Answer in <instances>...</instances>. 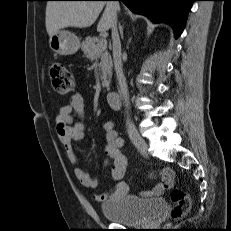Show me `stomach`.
<instances>
[{
	"label": "stomach",
	"mask_w": 231,
	"mask_h": 231,
	"mask_svg": "<svg viewBox=\"0 0 231 231\" xmlns=\"http://www.w3.org/2000/svg\"><path fill=\"white\" fill-rule=\"evenodd\" d=\"M49 46L59 55H73L80 47V40L72 32L59 30L50 37Z\"/></svg>",
	"instance_id": "0dacf381"
}]
</instances>
